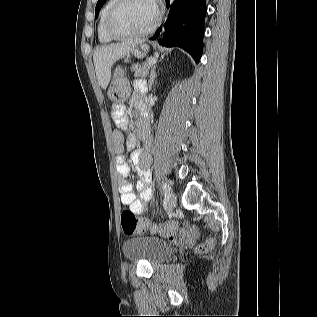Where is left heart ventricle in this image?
<instances>
[{
    "label": "left heart ventricle",
    "instance_id": "1",
    "mask_svg": "<svg viewBox=\"0 0 317 317\" xmlns=\"http://www.w3.org/2000/svg\"><path fill=\"white\" fill-rule=\"evenodd\" d=\"M154 16L151 0H126L117 10L112 26L119 33H135L148 27Z\"/></svg>",
    "mask_w": 317,
    "mask_h": 317
}]
</instances>
